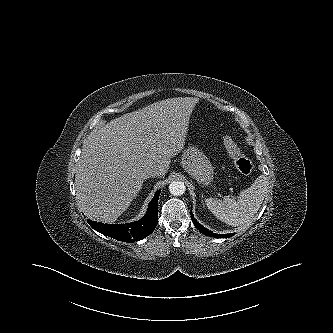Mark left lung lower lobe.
Instances as JSON below:
<instances>
[{"mask_svg":"<svg viewBox=\"0 0 333 333\" xmlns=\"http://www.w3.org/2000/svg\"><path fill=\"white\" fill-rule=\"evenodd\" d=\"M192 208V207H191ZM191 219L193 224L195 225V227L204 235H208L211 237H215V238H229L231 236H233L235 233H231V234H215L212 233L211 231H209L208 229H206L204 226L200 225L195 219L194 216L192 214V209H191Z\"/></svg>","mask_w":333,"mask_h":333,"instance_id":"0a47b994","label":"left lung lower lobe"}]
</instances>
